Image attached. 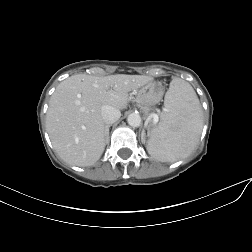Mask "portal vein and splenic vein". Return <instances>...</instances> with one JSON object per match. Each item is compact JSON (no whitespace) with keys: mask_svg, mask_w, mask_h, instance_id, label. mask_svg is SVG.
Returning a JSON list of instances; mask_svg holds the SVG:
<instances>
[{"mask_svg":"<svg viewBox=\"0 0 252 252\" xmlns=\"http://www.w3.org/2000/svg\"><path fill=\"white\" fill-rule=\"evenodd\" d=\"M150 118L152 119L153 124H157L159 121V117L156 113L150 114Z\"/></svg>","mask_w":252,"mask_h":252,"instance_id":"obj_1","label":"portal vein and splenic vein"}]
</instances>
